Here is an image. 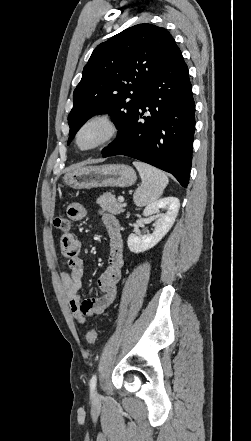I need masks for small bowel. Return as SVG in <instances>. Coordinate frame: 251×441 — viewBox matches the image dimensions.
Segmentation results:
<instances>
[{"mask_svg":"<svg viewBox=\"0 0 251 441\" xmlns=\"http://www.w3.org/2000/svg\"><path fill=\"white\" fill-rule=\"evenodd\" d=\"M87 213V209L79 203H73L68 209L69 217L73 221L82 220ZM102 222L109 235L110 254L108 266L97 281L102 294L96 298L82 301L79 295L84 277V262L80 256L81 242L72 234L60 239L61 252L69 268V271H60V278L72 315L81 323L88 317L102 314L112 306L122 277L124 257L121 226L110 213L102 215Z\"/></svg>","mask_w":251,"mask_h":441,"instance_id":"c3829d8e","label":"small bowel"}]
</instances>
